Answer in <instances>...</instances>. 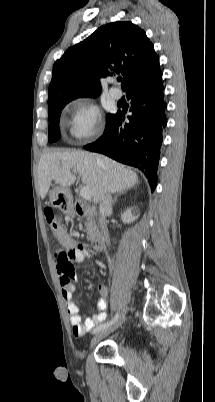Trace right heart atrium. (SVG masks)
I'll list each match as a JSON object with an SVG mask.
<instances>
[{
	"mask_svg": "<svg viewBox=\"0 0 215 402\" xmlns=\"http://www.w3.org/2000/svg\"><path fill=\"white\" fill-rule=\"evenodd\" d=\"M101 123L99 107L89 99L81 98L71 104V120L69 132L78 143H84L94 138Z\"/></svg>",
	"mask_w": 215,
	"mask_h": 402,
	"instance_id": "d8ad5b80",
	"label": "right heart atrium"
}]
</instances>
